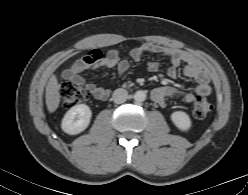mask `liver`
I'll return each mask as SVG.
<instances>
[{
    "label": "liver",
    "instance_id": "6515ba94",
    "mask_svg": "<svg viewBox=\"0 0 248 195\" xmlns=\"http://www.w3.org/2000/svg\"><path fill=\"white\" fill-rule=\"evenodd\" d=\"M60 85L55 75H51L46 86V106L50 113L57 110L60 104Z\"/></svg>",
    "mask_w": 248,
    "mask_h": 195
}]
</instances>
